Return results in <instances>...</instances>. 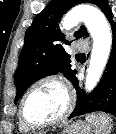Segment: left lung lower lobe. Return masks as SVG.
Instances as JSON below:
<instances>
[{
  "label": "left lung lower lobe",
  "mask_w": 116,
  "mask_h": 134,
  "mask_svg": "<svg viewBox=\"0 0 116 134\" xmlns=\"http://www.w3.org/2000/svg\"><path fill=\"white\" fill-rule=\"evenodd\" d=\"M105 16L110 22L113 34L112 50L106 69L97 87L89 95L79 90L76 77L71 81L77 91V103L69 119L96 111L116 116V23L112 19L111 9Z\"/></svg>",
  "instance_id": "left-lung-lower-lobe-1"
}]
</instances>
